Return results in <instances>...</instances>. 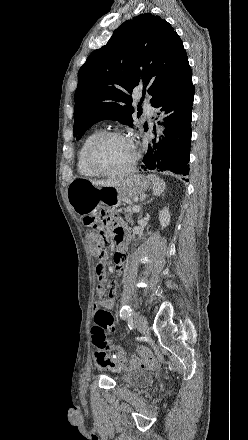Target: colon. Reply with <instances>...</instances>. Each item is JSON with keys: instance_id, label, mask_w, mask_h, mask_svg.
I'll use <instances>...</instances> for the list:
<instances>
[{"instance_id": "5ec220e1", "label": "colon", "mask_w": 248, "mask_h": 440, "mask_svg": "<svg viewBox=\"0 0 248 440\" xmlns=\"http://www.w3.org/2000/svg\"><path fill=\"white\" fill-rule=\"evenodd\" d=\"M105 222L103 213H95L84 218V223L91 227L90 242L98 259H105L109 247V239L101 224ZM93 327V341L96 346L95 359L104 366L119 368L126 364L127 358L120 347H114L108 334L116 330L112 315L103 308H97Z\"/></svg>"}]
</instances>
